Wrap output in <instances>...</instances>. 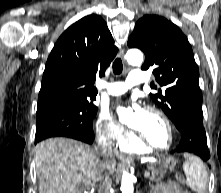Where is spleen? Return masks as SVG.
<instances>
[{
  "label": "spleen",
  "instance_id": "1",
  "mask_svg": "<svg viewBox=\"0 0 221 193\" xmlns=\"http://www.w3.org/2000/svg\"><path fill=\"white\" fill-rule=\"evenodd\" d=\"M183 169L186 175V184L197 193H205L207 188V171L203 162L196 156L184 154Z\"/></svg>",
  "mask_w": 221,
  "mask_h": 193
}]
</instances>
